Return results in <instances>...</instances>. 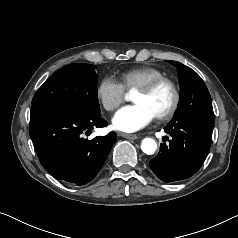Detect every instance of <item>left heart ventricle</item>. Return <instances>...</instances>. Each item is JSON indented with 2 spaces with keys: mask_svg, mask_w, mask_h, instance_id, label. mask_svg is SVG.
<instances>
[{
  "mask_svg": "<svg viewBox=\"0 0 238 238\" xmlns=\"http://www.w3.org/2000/svg\"><path fill=\"white\" fill-rule=\"evenodd\" d=\"M133 101L147 105L157 116L169 109L173 101V93L168 85L163 84L150 94L135 92Z\"/></svg>",
  "mask_w": 238,
  "mask_h": 238,
  "instance_id": "obj_1",
  "label": "left heart ventricle"
}]
</instances>
